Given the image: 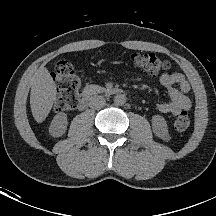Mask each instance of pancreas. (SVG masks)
Returning <instances> with one entry per match:
<instances>
[{
    "label": "pancreas",
    "mask_w": 216,
    "mask_h": 216,
    "mask_svg": "<svg viewBox=\"0 0 216 216\" xmlns=\"http://www.w3.org/2000/svg\"><path fill=\"white\" fill-rule=\"evenodd\" d=\"M94 88L97 92H105V90H106L105 88L98 86V85L94 86Z\"/></svg>",
    "instance_id": "1"
}]
</instances>
